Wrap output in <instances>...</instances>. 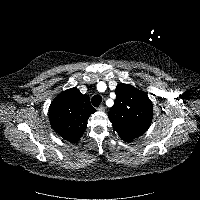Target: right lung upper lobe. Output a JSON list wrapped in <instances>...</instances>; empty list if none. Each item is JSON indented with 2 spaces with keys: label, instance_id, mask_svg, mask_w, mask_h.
Returning a JSON list of instances; mask_svg holds the SVG:
<instances>
[{
  "label": "right lung upper lobe",
  "instance_id": "cb5924a9",
  "mask_svg": "<svg viewBox=\"0 0 200 200\" xmlns=\"http://www.w3.org/2000/svg\"><path fill=\"white\" fill-rule=\"evenodd\" d=\"M95 111L89 96L75 87L62 92L51 102L49 119L56 133L75 143L83 135L87 120Z\"/></svg>",
  "mask_w": 200,
  "mask_h": 200
}]
</instances>
